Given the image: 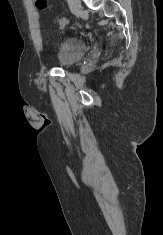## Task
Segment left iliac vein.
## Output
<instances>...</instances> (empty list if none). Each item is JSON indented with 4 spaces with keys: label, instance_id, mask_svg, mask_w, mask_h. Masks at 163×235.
<instances>
[{
    "label": "left iliac vein",
    "instance_id": "1",
    "mask_svg": "<svg viewBox=\"0 0 163 235\" xmlns=\"http://www.w3.org/2000/svg\"><path fill=\"white\" fill-rule=\"evenodd\" d=\"M70 2L76 10H79L82 6L81 0H70Z\"/></svg>",
    "mask_w": 163,
    "mask_h": 235
}]
</instances>
